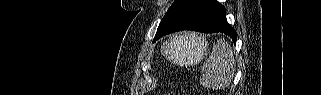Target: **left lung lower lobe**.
I'll return each instance as SVG.
<instances>
[{
  "instance_id": "1",
  "label": "left lung lower lobe",
  "mask_w": 321,
  "mask_h": 95,
  "mask_svg": "<svg viewBox=\"0 0 321 95\" xmlns=\"http://www.w3.org/2000/svg\"><path fill=\"white\" fill-rule=\"evenodd\" d=\"M181 30L222 32L237 40L236 31L227 22L225 7L217 0H176L160 22L153 42Z\"/></svg>"
}]
</instances>
